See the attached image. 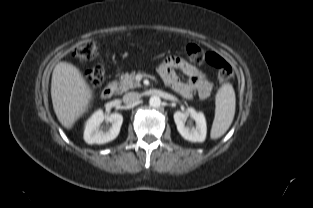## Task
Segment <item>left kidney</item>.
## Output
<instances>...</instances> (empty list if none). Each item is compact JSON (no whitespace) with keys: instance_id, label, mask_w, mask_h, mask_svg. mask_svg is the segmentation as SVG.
Masks as SVG:
<instances>
[{"instance_id":"5707ae66","label":"left kidney","mask_w":313,"mask_h":208,"mask_svg":"<svg viewBox=\"0 0 313 208\" xmlns=\"http://www.w3.org/2000/svg\"><path fill=\"white\" fill-rule=\"evenodd\" d=\"M189 116L196 122V127L185 126ZM174 121L178 132L184 139L191 142L205 141L207 126L202 112H197L193 108H189L185 113L177 111L174 113Z\"/></svg>"}]
</instances>
